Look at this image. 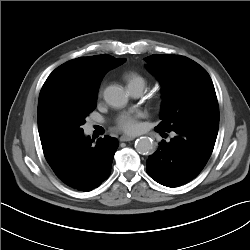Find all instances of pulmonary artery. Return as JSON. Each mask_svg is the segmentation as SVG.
Here are the masks:
<instances>
[{
	"label": "pulmonary artery",
	"instance_id": "pulmonary-artery-1",
	"mask_svg": "<svg viewBox=\"0 0 250 250\" xmlns=\"http://www.w3.org/2000/svg\"><path fill=\"white\" fill-rule=\"evenodd\" d=\"M129 93L134 97H139L143 94L144 85L143 84H131L128 85Z\"/></svg>",
	"mask_w": 250,
	"mask_h": 250
}]
</instances>
